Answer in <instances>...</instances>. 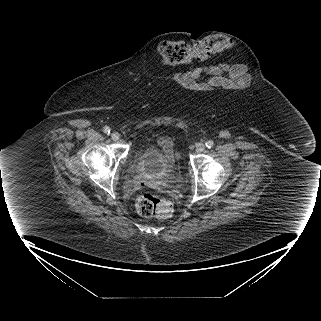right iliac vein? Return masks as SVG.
<instances>
[{"instance_id": "obj_1", "label": "right iliac vein", "mask_w": 321, "mask_h": 321, "mask_svg": "<svg viewBox=\"0 0 321 321\" xmlns=\"http://www.w3.org/2000/svg\"><path fill=\"white\" fill-rule=\"evenodd\" d=\"M111 138L114 141H118L120 139V135L117 132H113V133H111Z\"/></svg>"}]
</instances>
